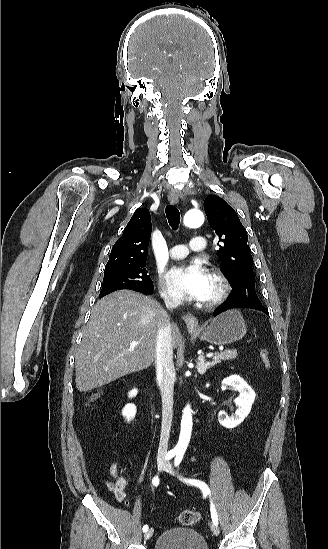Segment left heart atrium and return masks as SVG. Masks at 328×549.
<instances>
[{
    "instance_id": "1",
    "label": "left heart atrium",
    "mask_w": 328,
    "mask_h": 549,
    "mask_svg": "<svg viewBox=\"0 0 328 549\" xmlns=\"http://www.w3.org/2000/svg\"><path fill=\"white\" fill-rule=\"evenodd\" d=\"M169 282L174 292L189 301L204 300L207 296L211 274L197 263H192L171 272Z\"/></svg>"
}]
</instances>
